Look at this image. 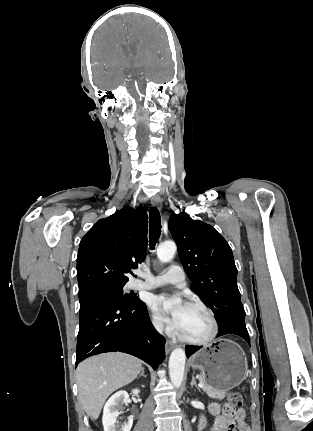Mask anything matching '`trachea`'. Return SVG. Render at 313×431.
<instances>
[{
  "label": "trachea",
  "mask_w": 313,
  "mask_h": 431,
  "mask_svg": "<svg viewBox=\"0 0 313 431\" xmlns=\"http://www.w3.org/2000/svg\"><path fill=\"white\" fill-rule=\"evenodd\" d=\"M161 233V217L158 209L152 207L149 213V246L151 250L154 247L160 237Z\"/></svg>",
  "instance_id": "obj_1"
}]
</instances>
